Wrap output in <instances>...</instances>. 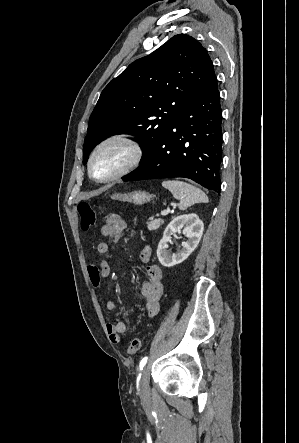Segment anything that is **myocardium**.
Listing matches in <instances>:
<instances>
[{"instance_id": "f54148a6", "label": "myocardium", "mask_w": 299, "mask_h": 443, "mask_svg": "<svg viewBox=\"0 0 299 443\" xmlns=\"http://www.w3.org/2000/svg\"><path fill=\"white\" fill-rule=\"evenodd\" d=\"M110 144H120L128 152L126 161L113 173L105 177H96L93 173V163L98 154ZM144 155L141 143L132 135L127 133H117L105 137L92 149L87 163V171L91 180L97 183H108L114 181L134 170L142 161Z\"/></svg>"}]
</instances>
